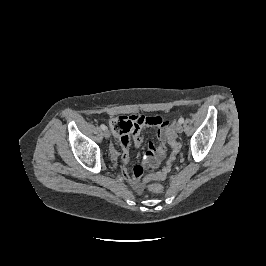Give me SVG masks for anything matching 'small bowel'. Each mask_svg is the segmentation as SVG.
Returning a JSON list of instances; mask_svg holds the SVG:
<instances>
[{"label":"small bowel","instance_id":"1","mask_svg":"<svg viewBox=\"0 0 266 266\" xmlns=\"http://www.w3.org/2000/svg\"><path fill=\"white\" fill-rule=\"evenodd\" d=\"M170 122L161 117H147L142 115L121 116L113 118L110 121L112 131L121 146V174L122 177L137 191L143 189L140 179L144 168L135 166L133 173L130 174L127 169L129 162V150L131 140L140 147L143 144L141 130L144 127H155L157 129V143H149L148 150L143 158V165L148 169L157 168L166 155L167 131ZM116 156L117 153L114 152Z\"/></svg>","mask_w":266,"mask_h":266}]
</instances>
